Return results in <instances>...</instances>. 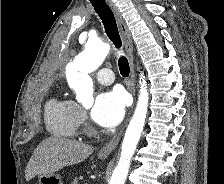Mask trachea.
<instances>
[{
  "label": "trachea",
  "mask_w": 224,
  "mask_h": 184,
  "mask_svg": "<svg viewBox=\"0 0 224 184\" xmlns=\"http://www.w3.org/2000/svg\"><path fill=\"white\" fill-rule=\"evenodd\" d=\"M91 4L94 7L95 12L100 17L106 34L109 37V39L114 43L115 47L117 49H120L122 46V42L120 39V35L118 32L116 20L114 17L113 12L109 8V6L106 4L104 0H90ZM118 66L120 70V74L123 77H128L130 72L129 63L126 57L121 56L118 60Z\"/></svg>",
  "instance_id": "1"
}]
</instances>
